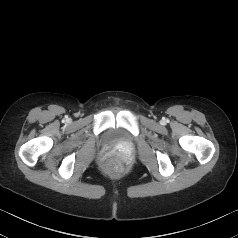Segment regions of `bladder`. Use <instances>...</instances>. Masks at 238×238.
Returning <instances> with one entry per match:
<instances>
[{
	"label": "bladder",
	"mask_w": 238,
	"mask_h": 238,
	"mask_svg": "<svg viewBox=\"0 0 238 238\" xmlns=\"http://www.w3.org/2000/svg\"><path fill=\"white\" fill-rule=\"evenodd\" d=\"M103 139L106 143L111 145L122 143L125 140L122 130L117 128L108 129L104 133Z\"/></svg>",
	"instance_id": "31cf9c89"
}]
</instances>
